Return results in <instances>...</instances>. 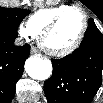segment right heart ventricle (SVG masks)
<instances>
[{"label":"right heart ventricle","mask_w":103,"mask_h":103,"mask_svg":"<svg viewBox=\"0 0 103 103\" xmlns=\"http://www.w3.org/2000/svg\"><path fill=\"white\" fill-rule=\"evenodd\" d=\"M69 5H59L40 9L34 12L27 20V26L32 33L37 36L40 35L45 26L59 13L70 8Z\"/></svg>","instance_id":"e07e8e85"}]
</instances>
